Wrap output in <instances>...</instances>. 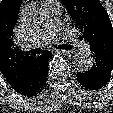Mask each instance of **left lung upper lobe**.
Segmentation results:
<instances>
[{
	"instance_id": "obj_1",
	"label": "left lung upper lobe",
	"mask_w": 113,
	"mask_h": 113,
	"mask_svg": "<svg viewBox=\"0 0 113 113\" xmlns=\"http://www.w3.org/2000/svg\"><path fill=\"white\" fill-rule=\"evenodd\" d=\"M75 26L83 31L80 39L90 50L113 55V30L110 18L99 0H64Z\"/></svg>"
}]
</instances>
